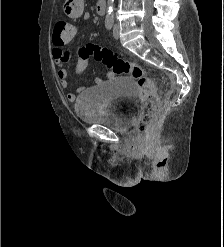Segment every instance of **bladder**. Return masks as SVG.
Returning <instances> with one entry per match:
<instances>
[{"label":"bladder","mask_w":224,"mask_h":247,"mask_svg":"<svg viewBox=\"0 0 224 247\" xmlns=\"http://www.w3.org/2000/svg\"><path fill=\"white\" fill-rule=\"evenodd\" d=\"M139 107L135 82L124 76L84 89L74 111L88 125L104 126L116 132H127Z\"/></svg>","instance_id":"obj_1"}]
</instances>
